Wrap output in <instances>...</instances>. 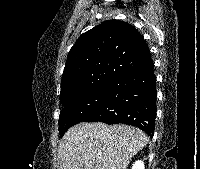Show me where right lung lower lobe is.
<instances>
[{"instance_id": "98d812e1", "label": "right lung lower lobe", "mask_w": 200, "mask_h": 169, "mask_svg": "<svg viewBox=\"0 0 200 169\" xmlns=\"http://www.w3.org/2000/svg\"><path fill=\"white\" fill-rule=\"evenodd\" d=\"M156 117L154 66L119 78L102 104L84 122L124 123L153 137Z\"/></svg>"}]
</instances>
